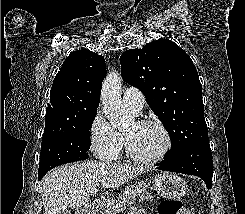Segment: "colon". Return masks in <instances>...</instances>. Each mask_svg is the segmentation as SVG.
Returning a JSON list of instances; mask_svg holds the SVG:
<instances>
[{
    "label": "colon",
    "mask_w": 245,
    "mask_h": 214,
    "mask_svg": "<svg viewBox=\"0 0 245 214\" xmlns=\"http://www.w3.org/2000/svg\"><path fill=\"white\" fill-rule=\"evenodd\" d=\"M159 214H194L190 210L182 208V203L176 199H168L159 204Z\"/></svg>",
    "instance_id": "colon-1"
}]
</instances>
